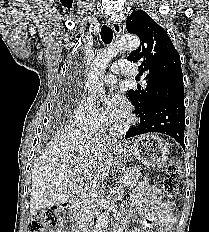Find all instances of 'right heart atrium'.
Instances as JSON below:
<instances>
[{
    "mask_svg": "<svg viewBox=\"0 0 209 232\" xmlns=\"http://www.w3.org/2000/svg\"><path fill=\"white\" fill-rule=\"evenodd\" d=\"M72 123L80 130L94 132L104 127L106 121L94 102L83 95L73 111Z\"/></svg>",
    "mask_w": 209,
    "mask_h": 232,
    "instance_id": "d8ad5b80",
    "label": "right heart atrium"
}]
</instances>
